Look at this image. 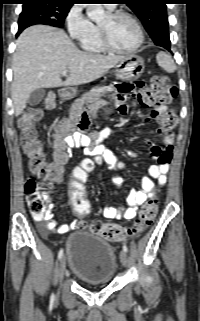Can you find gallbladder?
<instances>
[{
    "instance_id": "obj_1",
    "label": "gallbladder",
    "mask_w": 200,
    "mask_h": 321,
    "mask_svg": "<svg viewBox=\"0 0 200 321\" xmlns=\"http://www.w3.org/2000/svg\"><path fill=\"white\" fill-rule=\"evenodd\" d=\"M45 94H46V91L43 88L34 90L28 98L29 105L31 106L38 105L44 98Z\"/></svg>"
}]
</instances>
